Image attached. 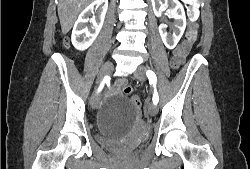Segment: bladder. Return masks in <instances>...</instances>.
Here are the masks:
<instances>
[{
	"label": "bladder",
	"instance_id": "bladder-1",
	"mask_svg": "<svg viewBox=\"0 0 250 169\" xmlns=\"http://www.w3.org/2000/svg\"><path fill=\"white\" fill-rule=\"evenodd\" d=\"M111 134L95 133L96 143L107 150L113 151H129L138 148L140 145H123L118 139H111Z\"/></svg>",
	"mask_w": 250,
	"mask_h": 169
}]
</instances>
